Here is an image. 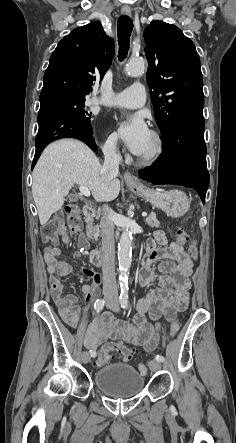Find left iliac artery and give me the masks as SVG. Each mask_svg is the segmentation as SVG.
Returning a JSON list of instances; mask_svg holds the SVG:
<instances>
[{"label": "left iliac artery", "mask_w": 236, "mask_h": 443, "mask_svg": "<svg viewBox=\"0 0 236 443\" xmlns=\"http://www.w3.org/2000/svg\"><path fill=\"white\" fill-rule=\"evenodd\" d=\"M128 286H123L121 287V293L119 296V302L122 308L126 309L129 306V300H128ZM155 360H157L158 362H163L164 361V357L161 355H157L155 356Z\"/></svg>", "instance_id": "44dca946"}]
</instances>
